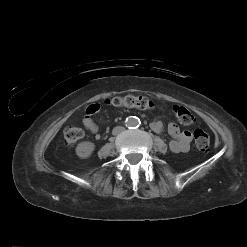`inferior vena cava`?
<instances>
[{
    "instance_id": "1",
    "label": "inferior vena cava",
    "mask_w": 247,
    "mask_h": 247,
    "mask_svg": "<svg viewBox=\"0 0 247 247\" xmlns=\"http://www.w3.org/2000/svg\"><path fill=\"white\" fill-rule=\"evenodd\" d=\"M122 131H124V127H122V126H117V127H115V128L113 129L112 133H113V135H117V134L121 133Z\"/></svg>"
}]
</instances>
